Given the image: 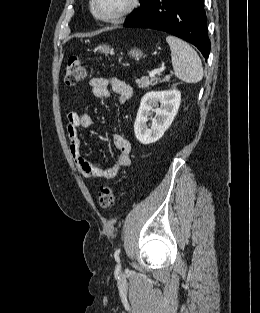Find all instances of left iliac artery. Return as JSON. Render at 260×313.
Here are the masks:
<instances>
[{"label":"left iliac artery","instance_id":"obj_1","mask_svg":"<svg viewBox=\"0 0 260 313\" xmlns=\"http://www.w3.org/2000/svg\"><path fill=\"white\" fill-rule=\"evenodd\" d=\"M120 249L115 252V259L119 260Z\"/></svg>","mask_w":260,"mask_h":313}]
</instances>
